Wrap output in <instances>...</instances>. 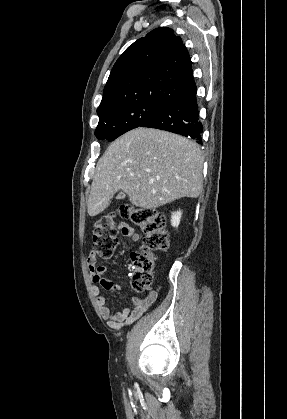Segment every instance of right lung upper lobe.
Listing matches in <instances>:
<instances>
[{"label": "right lung upper lobe", "mask_w": 287, "mask_h": 419, "mask_svg": "<svg viewBox=\"0 0 287 419\" xmlns=\"http://www.w3.org/2000/svg\"><path fill=\"white\" fill-rule=\"evenodd\" d=\"M191 65L186 47L172 29H154L118 58L97 113L135 102L166 104L196 90Z\"/></svg>", "instance_id": "cb5924a9"}]
</instances>
